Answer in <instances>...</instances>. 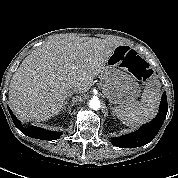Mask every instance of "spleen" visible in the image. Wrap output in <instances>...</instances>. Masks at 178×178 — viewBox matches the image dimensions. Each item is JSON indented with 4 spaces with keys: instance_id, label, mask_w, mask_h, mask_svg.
I'll return each instance as SVG.
<instances>
[{
    "instance_id": "3e777b00",
    "label": "spleen",
    "mask_w": 178,
    "mask_h": 178,
    "mask_svg": "<svg viewBox=\"0 0 178 178\" xmlns=\"http://www.w3.org/2000/svg\"><path fill=\"white\" fill-rule=\"evenodd\" d=\"M161 98V86L157 80L148 83L141 101L113 108L118 119L127 126H137L151 120L157 112Z\"/></svg>"
}]
</instances>
